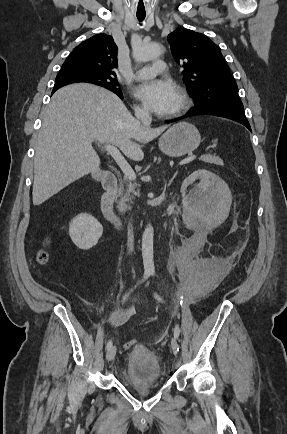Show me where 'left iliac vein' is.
Listing matches in <instances>:
<instances>
[{
    "label": "left iliac vein",
    "mask_w": 287,
    "mask_h": 434,
    "mask_svg": "<svg viewBox=\"0 0 287 434\" xmlns=\"http://www.w3.org/2000/svg\"><path fill=\"white\" fill-rule=\"evenodd\" d=\"M171 349H172V352H173L174 354H176L177 351H178V349H179V344H178L176 338H173V339L171 340Z\"/></svg>",
    "instance_id": "4c4485c4"
}]
</instances>
